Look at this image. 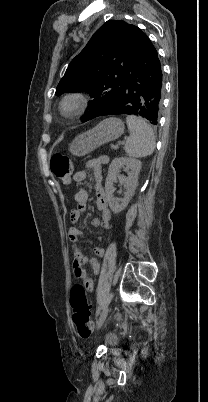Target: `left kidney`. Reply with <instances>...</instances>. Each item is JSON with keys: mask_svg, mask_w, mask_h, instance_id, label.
<instances>
[{"mask_svg": "<svg viewBox=\"0 0 208 402\" xmlns=\"http://www.w3.org/2000/svg\"><path fill=\"white\" fill-rule=\"evenodd\" d=\"M120 168H125L124 172H128V170H130V172L127 174V178L126 176H120ZM141 168L142 166L140 160H135V158H115V160H112L105 182V192L110 210H112L114 214H119V212H122V210L127 208L135 192ZM113 182H120V184H123L124 188L127 190L124 198H121L120 200L121 204H119L118 198H113V194L115 192Z\"/></svg>", "mask_w": 208, "mask_h": 402, "instance_id": "obj_1", "label": "left kidney"}]
</instances>
